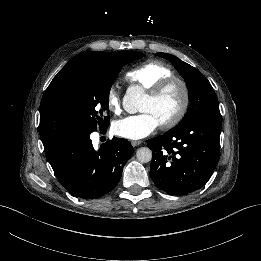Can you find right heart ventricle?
<instances>
[{
    "label": "right heart ventricle",
    "instance_id": "right-heart-ventricle-1",
    "mask_svg": "<svg viewBox=\"0 0 261 261\" xmlns=\"http://www.w3.org/2000/svg\"><path fill=\"white\" fill-rule=\"evenodd\" d=\"M173 71L164 63L148 60L127 72L126 77L135 86L150 92L163 79L173 77Z\"/></svg>",
    "mask_w": 261,
    "mask_h": 261
}]
</instances>
